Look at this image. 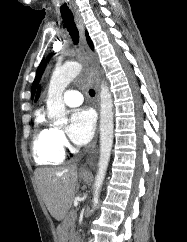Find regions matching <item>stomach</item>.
<instances>
[{"label": "stomach", "mask_w": 187, "mask_h": 242, "mask_svg": "<svg viewBox=\"0 0 187 242\" xmlns=\"http://www.w3.org/2000/svg\"><path fill=\"white\" fill-rule=\"evenodd\" d=\"M81 178L85 181H89V177L81 174ZM58 242H68V230L64 224H60L57 228Z\"/></svg>", "instance_id": "1"}]
</instances>
